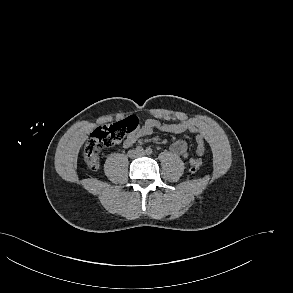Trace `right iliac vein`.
I'll use <instances>...</instances> for the list:
<instances>
[{"mask_svg": "<svg viewBox=\"0 0 293 293\" xmlns=\"http://www.w3.org/2000/svg\"><path fill=\"white\" fill-rule=\"evenodd\" d=\"M130 156L131 157H136L137 156V153L136 152H131Z\"/></svg>", "mask_w": 293, "mask_h": 293, "instance_id": "1", "label": "right iliac vein"}]
</instances>
